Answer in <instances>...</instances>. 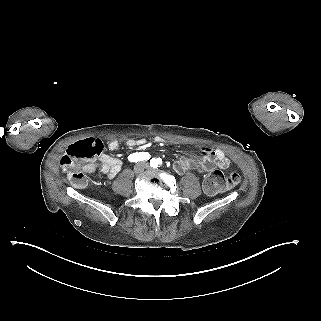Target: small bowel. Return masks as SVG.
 Segmentation results:
<instances>
[{
    "label": "small bowel",
    "instance_id": "c3829d8e",
    "mask_svg": "<svg viewBox=\"0 0 321 321\" xmlns=\"http://www.w3.org/2000/svg\"><path fill=\"white\" fill-rule=\"evenodd\" d=\"M154 141L159 144L167 143V141L161 137H156ZM146 143L147 141L145 139H128L126 141V146L129 148L143 147ZM107 148L110 151H118L120 149V144L117 140H111L107 143ZM229 163L230 161L223 151L210 147H202L194 156L180 157L175 162V168L180 173H184L189 170H197L201 173H206L215 167L225 169L229 166ZM122 166L123 162L119 158L108 154H101L98 160L87 161L83 165V169L86 172L100 170L109 178H114L120 172Z\"/></svg>",
    "mask_w": 321,
    "mask_h": 321
}]
</instances>
